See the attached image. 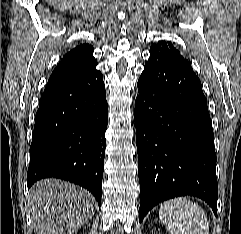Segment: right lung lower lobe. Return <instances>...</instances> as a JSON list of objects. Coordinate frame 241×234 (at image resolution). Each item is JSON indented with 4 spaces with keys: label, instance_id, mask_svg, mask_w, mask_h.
I'll return each instance as SVG.
<instances>
[{
    "label": "right lung lower lobe",
    "instance_id": "1",
    "mask_svg": "<svg viewBox=\"0 0 241 234\" xmlns=\"http://www.w3.org/2000/svg\"><path fill=\"white\" fill-rule=\"evenodd\" d=\"M103 76L88 71L46 85L36 113L27 185L56 177L89 190L101 205L108 123Z\"/></svg>",
    "mask_w": 241,
    "mask_h": 234
}]
</instances>
